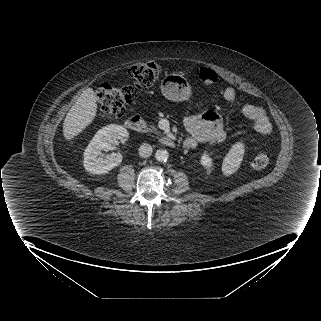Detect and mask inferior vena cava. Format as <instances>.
Instances as JSON below:
<instances>
[{
	"mask_svg": "<svg viewBox=\"0 0 321 321\" xmlns=\"http://www.w3.org/2000/svg\"><path fill=\"white\" fill-rule=\"evenodd\" d=\"M152 151H153L152 146L147 143H143L139 147V155L144 158L149 157L152 154Z\"/></svg>",
	"mask_w": 321,
	"mask_h": 321,
	"instance_id": "602c4592",
	"label": "inferior vena cava"
}]
</instances>
